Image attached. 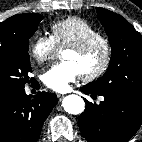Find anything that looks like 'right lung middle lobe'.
Returning <instances> with one entry per match:
<instances>
[{
  "label": "right lung middle lobe",
  "mask_w": 142,
  "mask_h": 142,
  "mask_svg": "<svg viewBox=\"0 0 142 142\" xmlns=\"http://www.w3.org/2000/svg\"><path fill=\"white\" fill-rule=\"evenodd\" d=\"M40 14L26 13L14 28L0 29V93L8 96L24 89L31 72L29 38L35 33ZM31 81H35L31 78Z\"/></svg>",
  "instance_id": "obj_1"
}]
</instances>
